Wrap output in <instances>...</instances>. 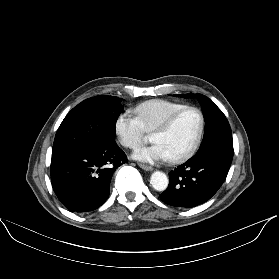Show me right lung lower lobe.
Here are the masks:
<instances>
[{"label": "right lung lower lobe", "mask_w": 279, "mask_h": 279, "mask_svg": "<svg viewBox=\"0 0 279 279\" xmlns=\"http://www.w3.org/2000/svg\"><path fill=\"white\" fill-rule=\"evenodd\" d=\"M126 160L114 140L94 147L52 152L51 181L55 194L70 211L95 210L109 197L112 175Z\"/></svg>", "instance_id": "right-lung-lower-lobe-1"}]
</instances>
